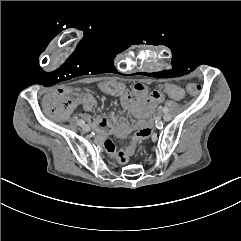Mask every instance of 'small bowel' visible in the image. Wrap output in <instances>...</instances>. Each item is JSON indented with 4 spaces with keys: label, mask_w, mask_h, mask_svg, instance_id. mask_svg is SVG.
<instances>
[{
    "label": "small bowel",
    "mask_w": 241,
    "mask_h": 241,
    "mask_svg": "<svg viewBox=\"0 0 241 241\" xmlns=\"http://www.w3.org/2000/svg\"><path fill=\"white\" fill-rule=\"evenodd\" d=\"M118 86V91L114 96L122 97L123 105L137 120L134 124L130 125L126 122L114 123L107 117H92L86 112L90 111L94 106L95 99L90 94H76L75 98L69 97L66 99L62 109H54L52 102L58 98L66 95L67 90L61 87L50 94L46 95L43 101V108L48 113L49 117L64 118L67 116L71 108H76L81 105L83 111H78L82 116L91 124L94 130L98 132V138L103 144L106 151L114 156L121 164H127L129 158L135 153L137 146L142 141L148 139L153 131V111L157 104L162 100L161 91L152 90L147 95V87L143 83H136L133 87V93L127 95V89L124 84L114 82ZM73 93L72 90L68 91ZM103 93V92H102ZM184 97L183 94L177 99L180 100ZM130 140L128 144L116 152L115 145L111 136L120 139L128 137Z\"/></svg>",
    "instance_id": "c3829d8e"
}]
</instances>
